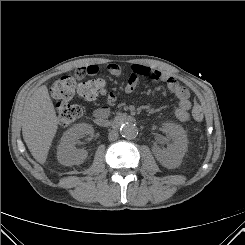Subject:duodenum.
Listing matches in <instances>:
<instances>
[{
	"instance_id": "410a0bca",
	"label": "duodenum",
	"mask_w": 245,
	"mask_h": 245,
	"mask_svg": "<svg viewBox=\"0 0 245 245\" xmlns=\"http://www.w3.org/2000/svg\"><path fill=\"white\" fill-rule=\"evenodd\" d=\"M95 123L104 128H118L125 123H134L136 120L133 116L128 114H119L113 119L99 117L95 118Z\"/></svg>"
}]
</instances>
